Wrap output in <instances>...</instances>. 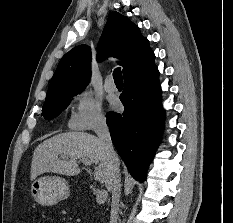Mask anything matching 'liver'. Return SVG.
Instances as JSON below:
<instances>
[{"mask_svg":"<svg viewBox=\"0 0 233 223\" xmlns=\"http://www.w3.org/2000/svg\"><path fill=\"white\" fill-rule=\"evenodd\" d=\"M80 159L95 163L93 179L108 187L112 175L109 157L99 143V137L84 131H67L45 139L34 149L31 161V179L41 173L78 175ZM120 165V161H119Z\"/></svg>","mask_w":233,"mask_h":223,"instance_id":"liver-1","label":"liver"}]
</instances>
